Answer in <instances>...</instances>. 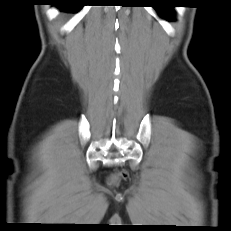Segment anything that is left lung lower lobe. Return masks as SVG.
Listing matches in <instances>:
<instances>
[{"mask_svg":"<svg viewBox=\"0 0 231 231\" xmlns=\"http://www.w3.org/2000/svg\"><path fill=\"white\" fill-rule=\"evenodd\" d=\"M157 12L166 20H172V6L169 5H157L154 6Z\"/></svg>","mask_w":231,"mask_h":231,"instance_id":"0a47b994","label":"left lung lower lobe"}]
</instances>
